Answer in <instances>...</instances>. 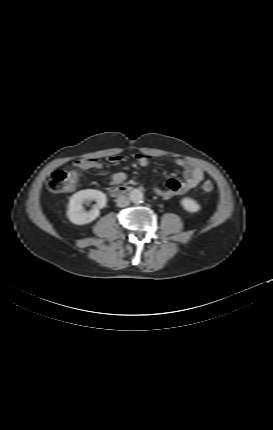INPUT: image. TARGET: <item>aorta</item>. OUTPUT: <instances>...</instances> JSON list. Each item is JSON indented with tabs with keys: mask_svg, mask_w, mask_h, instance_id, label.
<instances>
[{
	"mask_svg": "<svg viewBox=\"0 0 273 430\" xmlns=\"http://www.w3.org/2000/svg\"><path fill=\"white\" fill-rule=\"evenodd\" d=\"M129 199L131 202L138 204L143 201L144 194L140 189L135 188L129 192Z\"/></svg>",
	"mask_w": 273,
	"mask_h": 430,
	"instance_id": "obj_1",
	"label": "aorta"
}]
</instances>
